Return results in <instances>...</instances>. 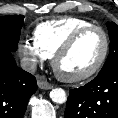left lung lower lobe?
Here are the masks:
<instances>
[{"instance_id":"left-lung-lower-lobe-1","label":"left lung lower lobe","mask_w":118,"mask_h":118,"mask_svg":"<svg viewBox=\"0 0 118 118\" xmlns=\"http://www.w3.org/2000/svg\"><path fill=\"white\" fill-rule=\"evenodd\" d=\"M65 118H118V68L69 92Z\"/></svg>"}]
</instances>
